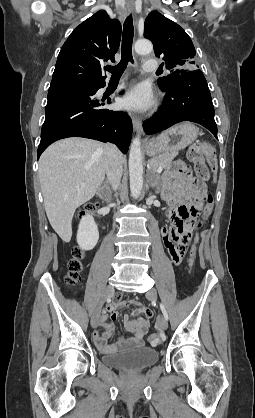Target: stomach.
I'll return each mask as SVG.
<instances>
[{
    "instance_id": "0dacf381",
    "label": "stomach",
    "mask_w": 255,
    "mask_h": 418,
    "mask_svg": "<svg viewBox=\"0 0 255 418\" xmlns=\"http://www.w3.org/2000/svg\"><path fill=\"white\" fill-rule=\"evenodd\" d=\"M197 136L196 126L191 123H181L149 140L145 150L149 156L178 152L193 143Z\"/></svg>"
}]
</instances>
